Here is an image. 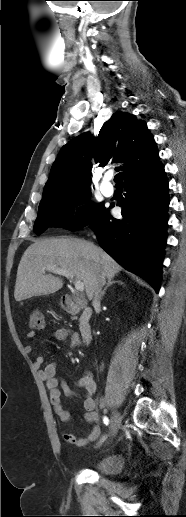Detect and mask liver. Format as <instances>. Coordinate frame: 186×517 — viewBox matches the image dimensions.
<instances>
[{
	"instance_id": "6515ba94",
	"label": "liver",
	"mask_w": 186,
	"mask_h": 517,
	"mask_svg": "<svg viewBox=\"0 0 186 517\" xmlns=\"http://www.w3.org/2000/svg\"><path fill=\"white\" fill-rule=\"evenodd\" d=\"M47 266L72 273L84 283L89 300L100 277L112 279L122 267L92 242L78 238L37 240L24 252L18 265L14 298L17 302L33 296L48 295L62 288L60 278L45 274Z\"/></svg>"
}]
</instances>
